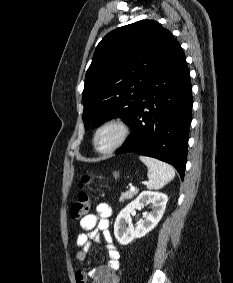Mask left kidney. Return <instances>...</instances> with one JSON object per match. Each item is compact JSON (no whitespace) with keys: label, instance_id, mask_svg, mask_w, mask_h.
Masks as SVG:
<instances>
[{"label":"left kidney","instance_id":"obj_1","mask_svg":"<svg viewBox=\"0 0 233 283\" xmlns=\"http://www.w3.org/2000/svg\"><path fill=\"white\" fill-rule=\"evenodd\" d=\"M168 197L159 192L143 191L133 202L129 203L117 216L114 224V235L121 245L131 243L135 238H141L149 233L161 220ZM152 204V211L134 228L131 214L141 210L147 204Z\"/></svg>","mask_w":233,"mask_h":283}]
</instances>
